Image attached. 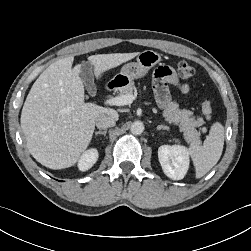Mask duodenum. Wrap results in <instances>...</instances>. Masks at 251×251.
Masks as SVG:
<instances>
[{"instance_id": "duodenum-1", "label": "duodenum", "mask_w": 251, "mask_h": 251, "mask_svg": "<svg viewBox=\"0 0 251 251\" xmlns=\"http://www.w3.org/2000/svg\"><path fill=\"white\" fill-rule=\"evenodd\" d=\"M116 86H117V84L113 82L109 85V89H114V88H116Z\"/></svg>"}]
</instances>
